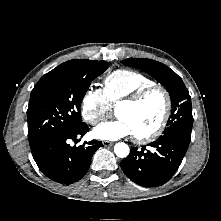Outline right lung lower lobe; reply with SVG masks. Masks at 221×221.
I'll use <instances>...</instances> for the list:
<instances>
[{
    "mask_svg": "<svg viewBox=\"0 0 221 221\" xmlns=\"http://www.w3.org/2000/svg\"><path fill=\"white\" fill-rule=\"evenodd\" d=\"M88 131L89 127L83 123L69 132L50 137L31 149L41 172L61 184L80 180L86 174L94 152L103 146L97 140L80 146H70L71 140L77 143Z\"/></svg>",
    "mask_w": 221,
    "mask_h": 221,
    "instance_id": "right-lung-lower-lobe-1",
    "label": "right lung lower lobe"
}]
</instances>
